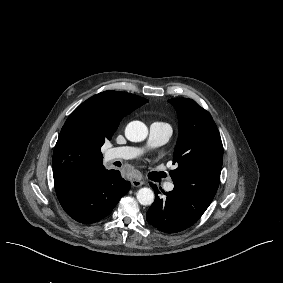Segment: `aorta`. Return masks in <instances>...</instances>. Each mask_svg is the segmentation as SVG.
I'll list each match as a JSON object with an SVG mask.
<instances>
[{
  "label": "aorta",
  "instance_id": "aorta-1",
  "mask_svg": "<svg viewBox=\"0 0 283 283\" xmlns=\"http://www.w3.org/2000/svg\"><path fill=\"white\" fill-rule=\"evenodd\" d=\"M148 135L147 126L141 121L130 122L125 129V136L131 142H141ZM137 200L141 205L148 206L154 202V193L150 188L144 187L138 190Z\"/></svg>",
  "mask_w": 283,
  "mask_h": 283
}]
</instances>
